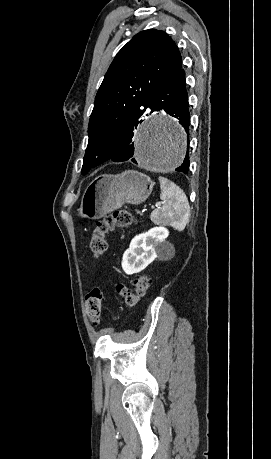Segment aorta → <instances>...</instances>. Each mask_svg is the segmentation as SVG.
Segmentation results:
<instances>
[{
    "mask_svg": "<svg viewBox=\"0 0 271 459\" xmlns=\"http://www.w3.org/2000/svg\"><path fill=\"white\" fill-rule=\"evenodd\" d=\"M186 150L184 130L163 114L147 119L135 137V158L147 170H173L183 162Z\"/></svg>",
    "mask_w": 271,
    "mask_h": 459,
    "instance_id": "762f6f07",
    "label": "aorta"
}]
</instances>
